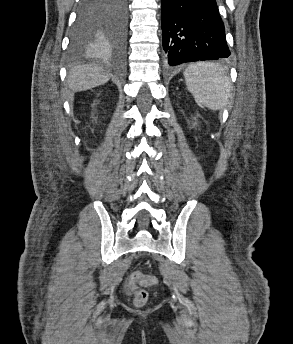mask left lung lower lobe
I'll return each instance as SVG.
<instances>
[{"instance_id": "1", "label": "left lung lower lobe", "mask_w": 293, "mask_h": 344, "mask_svg": "<svg viewBox=\"0 0 293 344\" xmlns=\"http://www.w3.org/2000/svg\"><path fill=\"white\" fill-rule=\"evenodd\" d=\"M161 21L170 66L230 55L216 0H161Z\"/></svg>"}]
</instances>
